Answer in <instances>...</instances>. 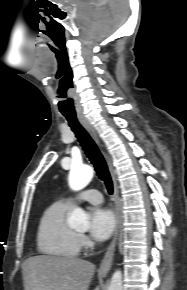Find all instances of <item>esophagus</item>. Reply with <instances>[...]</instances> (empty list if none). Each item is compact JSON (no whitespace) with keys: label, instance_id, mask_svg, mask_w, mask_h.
<instances>
[{"label":"esophagus","instance_id":"34e87169","mask_svg":"<svg viewBox=\"0 0 187 290\" xmlns=\"http://www.w3.org/2000/svg\"><path fill=\"white\" fill-rule=\"evenodd\" d=\"M78 120L81 123V125L87 130V132L92 136V138L96 141V143L98 145H100V140L99 137L94 129V127L92 126V124L89 122V120L86 118V116L82 113H78L77 114ZM108 166H109V170H110V174L112 177V181H113V189H114V194H113V200H114V204H115V216H116V228H115V232H114V236L113 239L105 253V256L100 264L99 267V274L101 275H106L112 265V260H113V256H114V251L116 248V243H117V239H118V234H119V228H120V207H119V195H118V183H117V177H116V172L111 164L110 158L104 153Z\"/></svg>","mask_w":187,"mask_h":290}]
</instances>
